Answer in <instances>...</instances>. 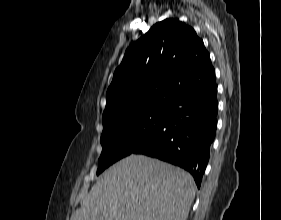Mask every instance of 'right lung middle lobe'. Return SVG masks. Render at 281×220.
Wrapping results in <instances>:
<instances>
[{"label":"right lung middle lobe","mask_w":281,"mask_h":220,"mask_svg":"<svg viewBox=\"0 0 281 220\" xmlns=\"http://www.w3.org/2000/svg\"><path fill=\"white\" fill-rule=\"evenodd\" d=\"M167 112L154 110L129 114L104 126L97 175L149 141L163 125Z\"/></svg>","instance_id":"obj_1"}]
</instances>
